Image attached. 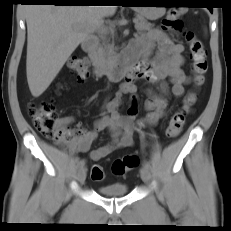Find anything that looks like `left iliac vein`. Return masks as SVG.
<instances>
[{"label": "left iliac vein", "instance_id": "left-iliac-vein-1", "mask_svg": "<svg viewBox=\"0 0 231 231\" xmlns=\"http://www.w3.org/2000/svg\"><path fill=\"white\" fill-rule=\"evenodd\" d=\"M141 178L146 184H150L151 182V172L150 169L143 166L140 170Z\"/></svg>", "mask_w": 231, "mask_h": 231}]
</instances>
